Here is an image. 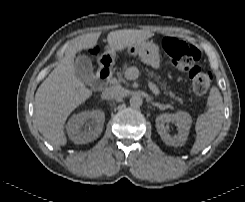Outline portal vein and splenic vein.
<instances>
[{"instance_id": "18ae733b", "label": "portal vein and splenic vein", "mask_w": 245, "mask_h": 202, "mask_svg": "<svg viewBox=\"0 0 245 202\" xmlns=\"http://www.w3.org/2000/svg\"><path fill=\"white\" fill-rule=\"evenodd\" d=\"M125 77L128 80H136L139 77V70L136 67H130L125 72ZM149 87L155 95H159V89L153 84L149 83Z\"/></svg>"}]
</instances>
